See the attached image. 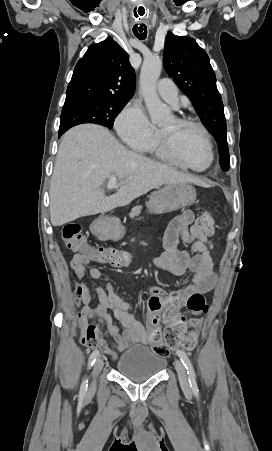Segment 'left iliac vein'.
Wrapping results in <instances>:
<instances>
[{
  "mask_svg": "<svg viewBox=\"0 0 272 451\" xmlns=\"http://www.w3.org/2000/svg\"><path fill=\"white\" fill-rule=\"evenodd\" d=\"M175 369H176V371L178 373V377H179V381L181 383V386L185 390L189 391L188 377L186 375V370H185V367H184L182 361H180V360H176L175 361Z\"/></svg>",
  "mask_w": 272,
  "mask_h": 451,
  "instance_id": "1",
  "label": "left iliac vein"
}]
</instances>
